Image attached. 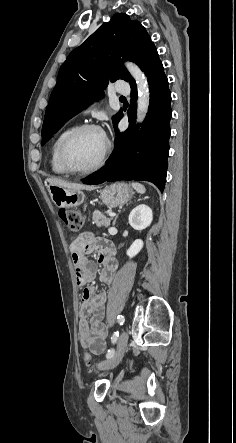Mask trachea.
<instances>
[{
	"mask_svg": "<svg viewBox=\"0 0 236 443\" xmlns=\"http://www.w3.org/2000/svg\"><path fill=\"white\" fill-rule=\"evenodd\" d=\"M122 100H125V97H121Z\"/></svg>",
	"mask_w": 236,
	"mask_h": 443,
	"instance_id": "1",
	"label": "trachea"
}]
</instances>
